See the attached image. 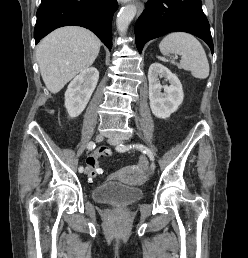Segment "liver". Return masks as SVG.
Here are the masks:
<instances>
[{
    "label": "liver",
    "instance_id": "1",
    "mask_svg": "<svg viewBox=\"0 0 248 258\" xmlns=\"http://www.w3.org/2000/svg\"><path fill=\"white\" fill-rule=\"evenodd\" d=\"M101 41L91 31L76 26L59 28L36 48L42 79L51 93H58L71 79L89 68L99 54Z\"/></svg>",
    "mask_w": 248,
    "mask_h": 258
}]
</instances>
